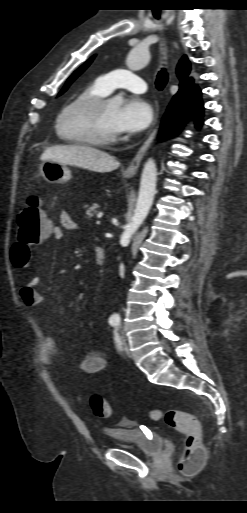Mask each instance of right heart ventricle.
I'll list each match as a JSON object with an SVG mask.
<instances>
[{
    "mask_svg": "<svg viewBox=\"0 0 247 513\" xmlns=\"http://www.w3.org/2000/svg\"><path fill=\"white\" fill-rule=\"evenodd\" d=\"M108 93H106L100 86L97 82H94L90 85H88L87 87H85L82 91H80L75 97L74 99L69 102V104L71 103H74L80 99H83V98H86V97H90V96H106ZM67 104V105H69ZM58 129V127H57ZM58 134L60 136L61 139L67 141V142H71V143H79L71 138H69L68 136H66L63 132H61L59 129H58Z\"/></svg>",
    "mask_w": 247,
    "mask_h": 513,
    "instance_id": "obj_1",
    "label": "right heart ventricle"
}]
</instances>
